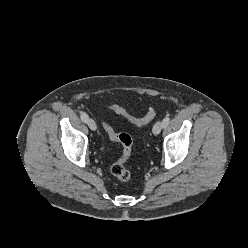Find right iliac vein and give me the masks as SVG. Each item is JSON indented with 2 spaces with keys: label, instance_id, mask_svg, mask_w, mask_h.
I'll use <instances>...</instances> for the list:
<instances>
[{
  "label": "right iliac vein",
  "instance_id": "1",
  "mask_svg": "<svg viewBox=\"0 0 248 248\" xmlns=\"http://www.w3.org/2000/svg\"><path fill=\"white\" fill-rule=\"evenodd\" d=\"M87 125L92 131H95L97 129L96 122L91 118L87 120Z\"/></svg>",
  "mask_w": 248,
  "mask_h": 248
}]
</instances>
